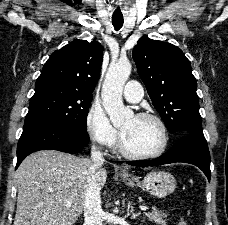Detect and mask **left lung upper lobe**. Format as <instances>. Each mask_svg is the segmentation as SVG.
<instances>
[{
	"instance_id": "left-lung-upper-lobe-1",
	"label": "left lung upper lobe",
	"mask_w": 228,
	"mask_h": 225,
	"mask_svg": "<svg viewBox=\"0 0 228 225\" xmlns=\"http://www.w3.org/2000/svg\"><path fill=\"white\" fill-rule=\"evenodd\" d=\"M132 56L152 104L170 133H203L196 80L182 50L144 36Z\"/></svg>"
}]
</instances>
